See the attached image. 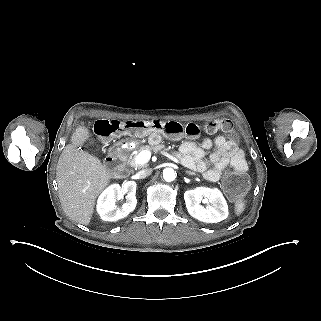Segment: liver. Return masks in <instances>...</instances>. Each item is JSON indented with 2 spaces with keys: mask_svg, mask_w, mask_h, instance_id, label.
I'll list each match as a JSON object with an SVG mask.
<instances>
[{
  "mask_svg": "<svg viewBox=\"0 0 321 321\" xmlns=\"http://www.w3.org/2000/svg\"><path fill=\"white\" fill-rule=\"evenodd\" d=\"M89 136L86 127L76 128L72 144L65 146L56 168L62 208L73 221L83 225L90 223L95 200L111 178L97 157L78 148Z\"/></svg>",
  "mask_w": 321,
  "mask_h": 321,
  "instance_id": "6515ba94",
  "label": "liver"
}]
</instances>
